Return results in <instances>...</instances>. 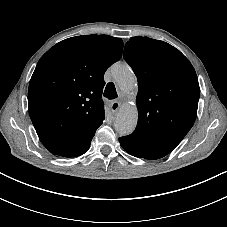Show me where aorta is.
Returning <instances> with one entry per match:
<instances>
[{
  "mask_svg": "<svg viewBox=\"0 0 227 227\" xmlns=\"http://www.w3.org/2000/svg\"><path fill=\"white\" fill-rule=\"evenodd\" d=\"M114 81L125 93H134L136 86V76L127 63H115L111 68ZM138 112L134 105L126 104L117 113L114 121L115 131L126 136L131 134L137 125Z\"/></svg>",
  "mask_w": 227,
  "mask_h": 227,
  "instance_id": "obj_1",
  "label": "aorta"
}]
</instances>
